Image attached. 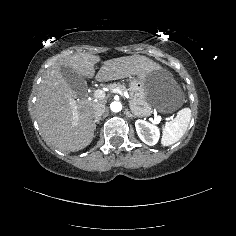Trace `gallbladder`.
Returning a JSON list of instances; mask_svg holds the SVG:
<instances>
[{"label":"gallbladder","mask_w":236,"mask_h":236,"mask_svg":"<svg viewBox=\"0 0 236 236\" xmlns=\"http://www.w3.org/2000/svg\"><path fill=\"white\" fill-rule=\"evenodd\" d=\"M60 71L63 78L72 89L76 90L78 88L86 87V81L84 80L82 75L74 71L71 67H65L64 65H62Z\"/></svg>","instance_id":"obj_1"}]
</instances>
